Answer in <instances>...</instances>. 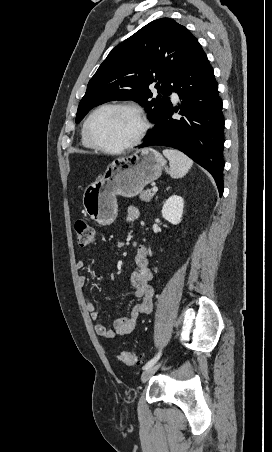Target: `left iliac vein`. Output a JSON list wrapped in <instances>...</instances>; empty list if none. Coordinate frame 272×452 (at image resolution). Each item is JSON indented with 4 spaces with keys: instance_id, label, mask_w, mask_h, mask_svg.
I'll use <instances>...</instances> for the list:
<instances>
[{
    "instance_id": "4c4485c4",
    "label": "left iliac vein",
    "mask_w": 272,
    "mask_h": 452,
    "mask_svg": "<svg viewBox=\"0 0 272 452\" xmlns=\"http://www.w3.org/2000/svg\"><path fill=\"white\" fill-rule=\"evenodd\" d=\"M160 366H161V362H158L157 364H154L151 367L145 369L141 375L142 383L147 382L154 375V373L159 369Z\"/></svg>"
}]
</instances>
